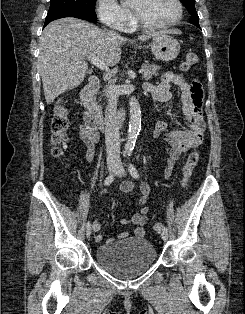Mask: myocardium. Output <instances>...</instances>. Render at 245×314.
<instances>
[{
  "label": "myocardium",
  "instance_id": "f54148a6",
  "mask_svg": "<svg viewBox=\"0 0 245 314\" xmlns=\"http://www.w3.org/2000/svg\"><path fill=\"white\" fill-rule=\"evenodd\" d=\"M176 6H177V15L176 17L166 23H152L145 21L140 18V16L136 13L135 10H132V19L135 26H139L145 29H161V28H168L176 25L183 17V5L180 0H174Z\"/></svg>",
  "mask_w": 245,
  "mask_h": 314
}]
</instances>
